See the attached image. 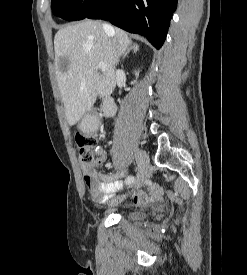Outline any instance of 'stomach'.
I'll return each instance as SVG.
<instances>
[{"label": "stomach", "mask_w": 247, "mask_h": 275, "mask_svg": "<svg viewBox=\"0 0 247 275\" xmlns=\"http://www.w3.org/2000/svg\"><path fill=\"white\" fill-rule=\"evenodd\" d=\"M80 128H81L82 130H86L85 124H84V123H81V124H80Z\"/></svg>", "instance_id": "obj_1"}]
</instances>
